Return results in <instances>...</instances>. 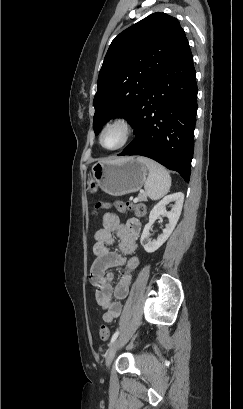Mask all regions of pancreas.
<instances>
[{
	"label": "pancreas",
	"mask_w": 243,
	"mask_h": 409,
	"mask_svg": "<svg viewBox=\"0 0 243 409\" xmlns=\"http://www.w3.org/2000/svg\"><path fill=\"white\" fill-rule=\"evenodd\" d=\"M139 200H141V201H146V195H145V194H141V195L139 196Z\"/></svg>",
	"instance_id": "pancreas-1"
}]
</instances>
